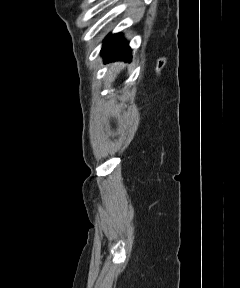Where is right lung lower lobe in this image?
Here are the masks:
<instances>
[{"label":"right lung lower lobe","instance_id":"obj_1","mask_svg":"<svg viewBox=\"0 0 240 288\" xmlns=\"http://www.w3.org/2000/svg\"><path fill=\"white\" fill-rule=\"evenodd\" d=\"M102 55L105 58V62L113 60H130L131 49L128 46L122 36V34L110 35L104 43L102 48Z\"/></svg>","mask_w":240,"mask_h":288}]
</instances>
